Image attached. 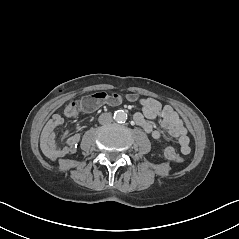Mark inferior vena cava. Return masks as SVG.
<instances>
[{"label":"inferior vena cava","instance_id":"obj_1","mask_svg":"<svg viewBox=\"0 0 239 239\" xmlns=\"http://www.w3.org/2000/svg\"><path fill=\"white\" fill-rule=\"evenodd\" d=\"M98 121L102 125L109 124L112 122V115L110 113H102L99 116Z\"/></svg>","mask_w":239,"mask_h":239}]
</instances>
